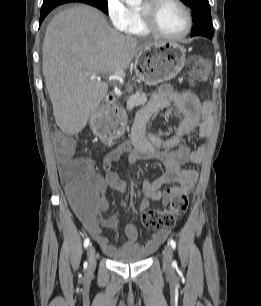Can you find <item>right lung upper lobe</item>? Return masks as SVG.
<instances>
[{"label":"right lung upper lobe","mask_w":261,"mask_h":306,"mask_svg":"<svg viewBox=\"0 0 261 306\" xmlns=\"http://www.w3.org/2000/svg\"><path fill=\"white\" fill-rule=\"evenodd\" d=\"M66 1L81 2V0H66Z\"/></svg>","instance_id":"1"}]
</instances>
